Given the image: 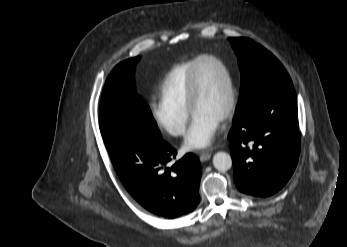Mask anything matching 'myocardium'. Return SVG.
Listing matches in <instances>:
<instances>
[{"label":"myocardium","mask_w":347,"mask_h":247,"mask_svg":"<svg viewBox=\"0 0 347 247\" xmlns=\"http://www.w3.org/2000/svg\"><path fill=\"white\" fill-rule=\"evenodd\" d=\"M213 61L221 67L223 70L228 84V103L220 122L225 123L232 119L236 109V88L232 74L227 65L218 57L214 55H203L199 57L196 64L192 67L188 83V94H187V106L188 110L194 115L195 105L199 95V78L198 69L202 62Z\"/></svg>","instance_id":"obj_1"}]
</instances>
